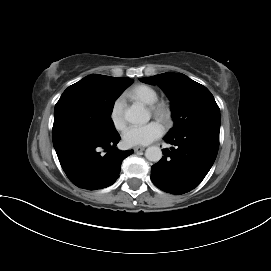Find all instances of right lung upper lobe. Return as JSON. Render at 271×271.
I'll list each match as a JSON object with an SVG mask.
<instances>
[{"label": "right lung upper lobe", "instance_id": "cb5924a9", "mask_svg": "<svg viewBox=\"0 0 271 271\" xmlns=\"http://www.w3.org/2000/svg\"><path fill=\"white\" fill-rule=\"evenodd\" d=\"M102 81L110 82V83H127L131 81L130 78H114L109 76H103V75H92Z\"/></svg>", "mask_w": 271, "mask_h": 271}]
</instances>
